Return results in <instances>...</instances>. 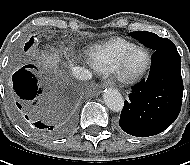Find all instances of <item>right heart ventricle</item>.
I'll return each instance as SVG.
<instances>
[{"label": "right heart ventricle", "instance_id": "e07e8e85", "mask_svg": "<svg viewBox=\"0 0 190 165\" xmlns=\"http://www.w3.org/2000/svg\"><path fill=\"white\" fill-rule=\"evenodd\" d=\"M136 46L129 40L115 38L92 47L89 50L88 59L97 72H115L124 54Z\"/></svg>", "mask_w": 190, "mask_h": 165}]
</instances>
